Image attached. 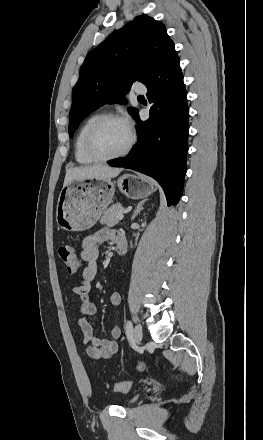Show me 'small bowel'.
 <instances>
[{
	"instance_id": "obj_1",
	"label": "small bowel",
	"mask_w": 263,
	"mask_h": 440,
	"mask_svg": "<svg viewBox=\"0 0 263 440\" xmlns=\"http://www.w3.org/2000/svg\"><path fill=\"white\" fill-rule=\"evenodd\" d=\"M123 239L121 232L104 228L86 237L82 242L80 258L86 262V266L78 280V285L73 288V294L80 300V316L77 318V324L83 333L82 342L85 345V352L93 360L108 359L118 350L117 339L121 336L119 326L116 325L111 329L110 338L95 337L88 319L96 314V306L90 300L89 292L91 281L94 280L98 271L99 245L107 241L118 244ZM110 302L114 308H117L121 303V296L113 292Z\"/></svg>"
}]
</instances>
